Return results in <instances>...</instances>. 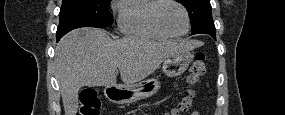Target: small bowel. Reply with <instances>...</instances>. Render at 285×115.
<instances>
[{
  "instance_id": "c3829d8e",
  "label": "small bowel",
  "mask_w": 285,
  "mask_h": 115,
  "mask_svg": "<svg viewBox=\"0 0 285 115\" xmlns=\"http://www.w3.org/2000/svg\"><path fill=\"white\" fill-rule=\"evenodd\" d=\"M192 115H199V112L196 111Z\"/></svg>"
}]
</instances>
